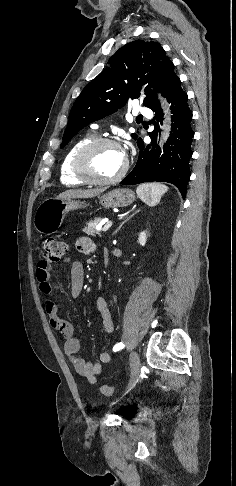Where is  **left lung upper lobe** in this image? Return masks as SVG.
<instances>
[{
	"mask_svg": "<svg viewBox=\"0 0 236 486\" xmlns=\"http://www.w3.org/2000/svg\"><path fill=\"white\" fill-rule=\"evenodd\" d=\"M108 63L110 66L91 81L76 99L61 148L86 125L124 106L129 97L139 98L144 83H149L143 102L148 107L157 98L149 87L162 91L167 83L177 77L173 62L160 44L153 41L130 42L120 48ZM132 137L137 139L136 134H132Z\"/></svg>",
	"mask_w": 236,
	"mask_h": 486,
	"instance_id": "5c2ea615",
	"label": "left lung upper lobe"
}]
</instances>
